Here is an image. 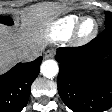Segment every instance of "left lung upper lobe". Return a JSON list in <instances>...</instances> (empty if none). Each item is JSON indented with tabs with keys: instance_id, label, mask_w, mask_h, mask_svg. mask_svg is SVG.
Instances as JSON below:
<instances>
[{
	"instance_id": "obj_1",
	"label": "left lung upper lobe",
	"mask_w": 112,
	"mask_h": 112,
	"mask_svg": "<svg viewBox=\"0 0 112 112\" xmlns=\"http://www.w3.org/2000/svg\"><path fill=\"white\" fill-rule=\"evenodd\" d=\"M105 14H106L105 28L112 27V13L105 12Z\"/></svg>"
}]
</instances>
